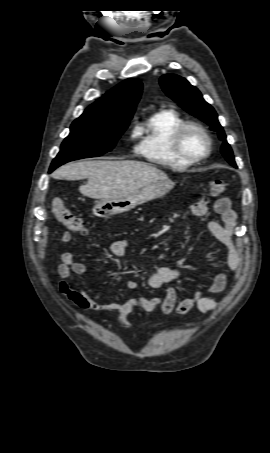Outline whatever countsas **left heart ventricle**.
<instances>
[{
	"mask_svg": "<svg viewBox=\"0 0 270 453\" xmlns=\"http://www.w3.org/2000/svg\"><path fill=\"white\" fill-rule=\"evenodd\" d=\"M182 146L184 151L189 155L199 156L206 151L207 141L200 132L188 130L183 136Z\"/></svg>",
	"mask_w": 270,
	"mask_h": 453,
	"instance_id": "1",
	"label": "left heart ventricle"
}]
</instances>
